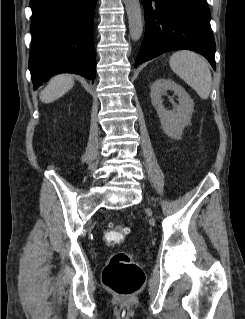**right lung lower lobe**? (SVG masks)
Listing matches in <instances>:
<instances>
[{"label": "right lung lower lobe", "mask_w": 245, "mask_h": 319, "mask_svg": "<svg viewBox=\"0 0 245 319\" xmlns=\"http://www.w3.org/2000/svg\"><path fill=\"white\" fill-rule=\"evenodd\" d=\"M95 4L96 0H30L29 70L36 89L62 72L76 73L94 82Z\"/></svg>", "instance_id": "1"}]
</instances>
